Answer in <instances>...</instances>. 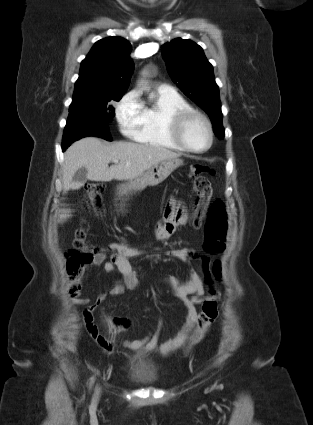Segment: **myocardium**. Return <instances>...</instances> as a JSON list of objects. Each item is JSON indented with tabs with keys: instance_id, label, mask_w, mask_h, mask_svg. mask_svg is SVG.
Wrapping results in <instances>:
<instances>
[{
	"instance_id": "1",
	"label": "myocardium",
	"mask_w": 313,
	"mask_h": 425,
	"mask_svg": "<svg viewBox=\"0 0 313 425\" xmlns=\"http://www.w3.org/2000/svg\"><path fill=\"white\" fill-rule=\"evenodd\" d=\"M193 118L201 119L207 127L209 142L202 149H195L191 147L184 138L185 128ZM170 126H171L170 128L171 135L174 141L180 147H182L185 151L192 152V153H203L207 151L208 149H210L213 144L214 132H213L211 121L204 113L200 112L199 110H196L193 108H187V109L176 111L171 117Z\"/></svg>"
}]
</instances>
